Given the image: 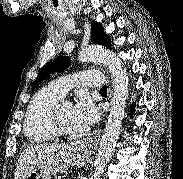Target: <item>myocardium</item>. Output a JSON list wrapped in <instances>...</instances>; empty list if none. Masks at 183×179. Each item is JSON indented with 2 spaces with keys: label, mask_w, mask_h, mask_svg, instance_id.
Here are the masks:
<instances>
[{
  "label": "myocardium",
  "mask_w": 183,
  "mask_h": 179,
  "mask_svg": "<svg viewBox=\"0 0 183 179\" xmlns=\"http://www.w3.org/2000/svg\"><path fill=\"white\" fill-rule=\"evenodd\" d=\"M66 103L70 104L68 101L59 100L53 106L51 113H50V118H49L50 127H51L53 133L57 136H71V135H73V132L66 131L63 128H61V126L59 125V120H58L59 110H60L61 106L63 104H66Z\"/></svg>",
  "instance_id": "f54148a6"
}]
</instances>
